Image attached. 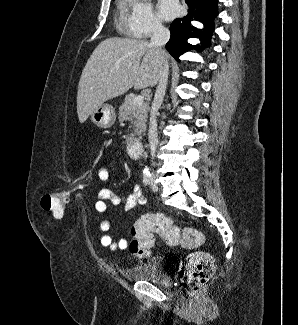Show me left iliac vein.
<instances>
[{
    "instance_id": "left-iliac-vein-1",
    "label": "left iliac vein",
    "mask_w": 298,
    "mask_h": 325,
    "mask_svg": "<svg viewBox=\"0 0 298 325\" xmlns=\"http://www.w3.org/2000/svg\"><path fill=\"white\" fill-rule=\"evenodd\" d=\"M151 188H152L153 191H157L158 190V187L156 185V182H155V178L154 177L151 178Z\"/></svg>"
}]
</instances>
